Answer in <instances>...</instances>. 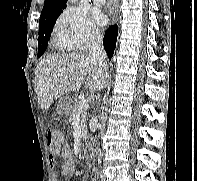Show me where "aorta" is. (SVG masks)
Returning <instances> with one entry per match:
<instances>
[{"label":"aorta","instance_id":"aorta-1","mask_svg":"<svg viewBox=\"0 0 197 181\" xmlns=\"http://www.w3.org/2000/svg\"><path fill=\"white\" fill-rule=\"evenodd\" d=\"M71 3H76L77 0H69Z\"/></svg>","mask_w":197,"mask_h":181}]
</instances>
